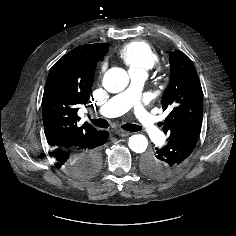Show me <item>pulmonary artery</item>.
Masks as SVG:
<instances>
[{"instance_id": "e3ab8cb5", "label": "pulmonary artery", "mask_w": 236, "mask_h": 236, "mask_svg": "<svg viewBox=\"0 0 236 236\" xmlns=\"http://www.w3.org/2000/svg\"><path fill=\"white\" fill-rule=\"evenodd\" d=\"M131 83L123 92L112 97L100 109L98 114L103 117L119 116L132 109L138 125L156 142L162 144L166 138L156 124V117L141 103V91L147 72L130 71Z\"/></svg>"}]
</instances>
